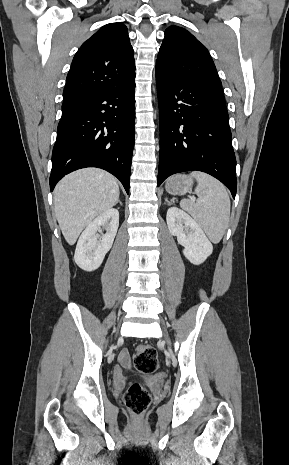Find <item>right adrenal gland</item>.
<instances>
[{
    "instance_id": "1",
    "label": "right adrenal gland",
    "mask_w": 289,
    "mask_h": 465,
    "mask_svg": "<svg viewBox=\"0 0 289 465\" xmlns=\"http://www.w3.org/2000/svg\"><path fill=\"white\" fill-rule=\"evenodd\" d=\"M118 203L122 206V202L119 199L117 200L116 204Z\"/></svg>"
}]
</instances>
